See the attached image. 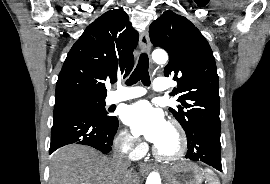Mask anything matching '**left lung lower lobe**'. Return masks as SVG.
Returning a JSON list of instances; mask_svg holds the SVG:
<instances>
[{
    "instance_id": "left-lung-lower-lobe-1",
    "label": "left lung lower lobe",
    "mask_w": 270,
    "mask_h": 184,
    "mask_svg": "<svg viewBox=\"0 0 270 184\" xmlns=\"http://www.w3.org/2000/svg\"><path fill=\"white\" fill-rule=\"evenodd\" d=\"M187 143L185 158L202 161L222 171L220 132L199 129L191 137H187Z\"/></svg>"
}]
</instances>
